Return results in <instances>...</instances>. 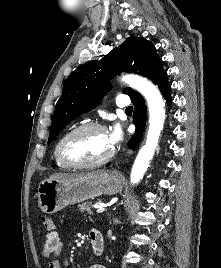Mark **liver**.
I'll list each match as a JSON object with an SVG mask.
<instances>
[{
	"label": "liver",
	"mask_w": 221,
	"mask_h": 268,
	"mask_svg": "<svg viewBox=\"0 0 221 268\" xmlns=\"http://www.w3.org/2000/svg\"><path fill=\"white\" fill-rule=\"evenodd\" d=\"M103 171H93L89 173H80V174H68V173H55L52 174L49 179L50 180H76L83 177L92 178L99 174H101Z\"/></svg>",
	"instance_id": "6515ba94"
}]
</instances>
